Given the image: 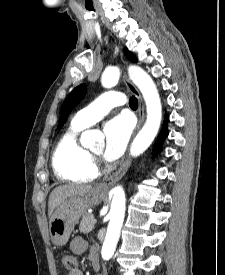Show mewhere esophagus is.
<instances>
[{"label": "esophagus", "instance_id": "34e87169", "mask_svg": "<svg viewBox=\"0 0 225 275\" xmlns=\"http://www.w3.org/2000/svg\"><path fill=\"white\" fill-rule=\"evenodd\" d=\"M123 79L124 82L127 86V88L137 97L138 99V123L135 129L134 134L138 132V130L141 128L143 121H144V116H145V110H144V103L142 96L139 92V90L135 87V85L129 80L127 74L124 72L123 74ZM131 164V160L128 158L126 161L122 164L120 169L115 172L113 175H111L106 181L98 185L97 188L99 189H108L112 185H114L122 176L127 172L129 166Z\"/></svg>", "mask_w": 225, "mask_h": 275}]
</instances>
